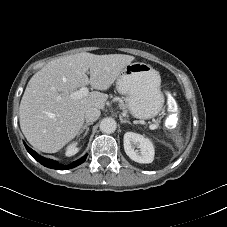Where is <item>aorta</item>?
Returning a JSON list of instances; mask_svg holds the SVG:
<instances>
[{"mask_svg":"<svg viewBox=\"0 0 227 227\" xmlns=\"http://www.w3.org/2000/svg\"><path fill=\"white\" fill-rule=\"evenodd\" d=\"M116 121L113 118L107 117L102 119L100 123V131L111 134L116 130Z\"/></svg>","mask_w":227,"mask_h":227,"instance_id":"obj_1","label":"aorta"}]
</instances>
